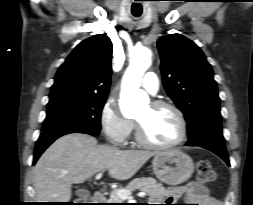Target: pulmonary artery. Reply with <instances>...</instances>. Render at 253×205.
<instances>
[{
    "mask_svg": "<svg viewBox=\"0 0 253 205\" xmlns=\"http://www.w3.org/2000/svg\"><path fill=\"white\" fill-rule=\"evenodd\" d=\"M142 87L150 94H156L159 90V79L157 75L153 72L146 73L142 80Z\"/></svg>",
    "mask_w": 253,
    "mask_h": 205,
    "instance_id": "pulmonary-artery-1",
    "label": "pulmonary artery"
}]
</instances>
